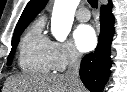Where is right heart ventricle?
I'll list each match as a JSON object with an SVG mask.
<instances>
[{
	"mask_svg": "<svg viewBox=\"0 0 127 92\" xmlns=\"http://www.w3.org/2000/svg\"><path fill=\"white\" fill-rule=\"evenodd\" d=\"M43 26V18L37 19L21 39L18 63L26 73L47 74L54 70L50 55L52 41L43 34Z\"/></svg>",
	"mask_w": 127,
	"mask_h": 92,
	"instance_id": "obj_1",
	"label": "right heart ventricle"
}]
</instances>
